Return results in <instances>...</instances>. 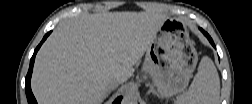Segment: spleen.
Returning a JSON list of instances; mask_svg holds the SVG:
<instances>
[{"label": "spleen", "instance_id": "1", "mask_svg": "<svg viewBox=\"0 0 252 104\" xmlns=\"http://www.w3.org/2000/svg\"><path fill=\"white\" fill-rule=\"evenodd\" d=\"M220 98V80L213 61L204 56L187 92L180 95L178 104H216Z\"/></svg>", "mask_w": 252, "mask_h": 104}]
</instances>
